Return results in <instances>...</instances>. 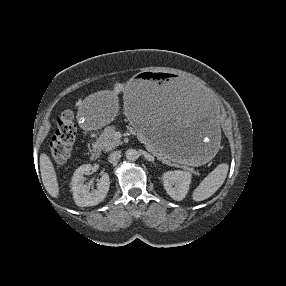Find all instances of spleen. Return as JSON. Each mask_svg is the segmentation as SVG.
Here are the masks:
<instances>
[{
    "instance_id": "3e777b00",
    "label": "spleen",
    "mask_w": 286,
    "mask_h": 286,
    "mask_svg": "<svg viewBox=\"0 0 286 286\" xmlns=\"http://www.w3.org/2000/svg\"><path fill=\"white\" fill-rule=\"evenodd\" d=\"M228 169V164H219L193 191V200L199 202L211 197L224 183Z\"/></svg>"
}]
</instances>
